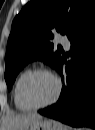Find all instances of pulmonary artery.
<instances>
[{"label":"pulmonary artery","mask_w":95,"mask_h":130,"mask_svg":"<svg viewBox=\"0 0 95 130\" xmlns=\"http://www.w3.org/2000/svg\"><path fill=\"white\" fill-rule=\"evenodd\" d=\"M59 41H60V43H61L62 45H64L66 48H68L69 45H70L69 40H68V38H67L66 36H61V37L59 38Z\"/></svg>","instance_id":"1"}]
</instances>
